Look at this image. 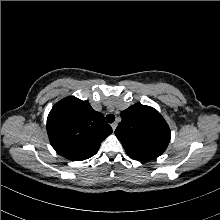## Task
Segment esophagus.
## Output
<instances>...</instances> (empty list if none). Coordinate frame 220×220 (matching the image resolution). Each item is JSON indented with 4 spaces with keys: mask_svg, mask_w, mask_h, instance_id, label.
I'll return each instance as SVG.
<instances>
[{
    "mask_svg": "<svg viewBox=\"0 0 220 220\" xmlns=\"http://www.w3.org/2000/svg\"><path fill=\"white\" fill-rule=\"evenodd\" d=\"M111 127H112V130L115 131V129H116V127H117V123H116V122L112 123V124H111Z\"/></svg>",
    "mask_w": 220,
    "mask_h": 220,
    "instance_id": "1",
    "label": "esophagus"
}]
</instances>
